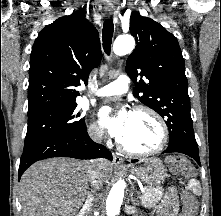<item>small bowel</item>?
Returning a JSON list of instances; mask_svg holds the SVG:
<instances>
[{"instance_id": "c3829d8e", "label": "small bowel", "mask_w": 221, "mask_h": 216, "mask_svg": "<svg viewBox=\"0 0 221 216\" xmlns=\"http://www.w3.org/2000/svg\"><path fill=\"white\" fill-rule=\"evenodd\" d=\"M159 216H184L178 212L177 192L170 189L159 210Z\"/></svg>"}]
</instances>
